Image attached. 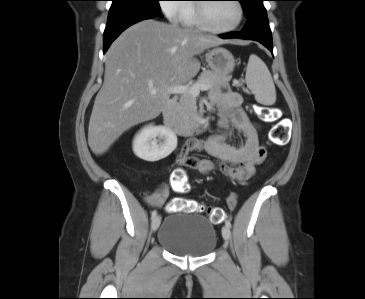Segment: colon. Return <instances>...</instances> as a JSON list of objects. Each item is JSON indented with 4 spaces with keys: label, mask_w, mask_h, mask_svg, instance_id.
I'll use <instances>...</instances> for the list:
<instances>
[{
    "label": "colon",
    "mask_w": 365,
    "mask_h": 299,
    "mask_svg": "<svg viewBox=\"0 0 365 299\" xmlns=\"http://www.w3.org/2000/svg\"><path fill=\"white\" fill-rule=\"evenodd\" d=\"M233 1V0H232ZM259 116L263 121L274 123L270 130V139L276 144H285L288 141L289 131L282 124L280 110L273 107L261 106ZM172 186L176 192L185 193L189 190V183L186 176L177 172L172 178ZM229 207L234 208L236 206V195H231L229 198ZM169 212H186L196 213L204 209L203 205L194 200H188L184 198H176L168 205ZM208 215L211 221L215 224L221 223L225 218V212L220 207H209Z\"/></svg>",
    "instance_id": "colon-1"
}]
</instances>
